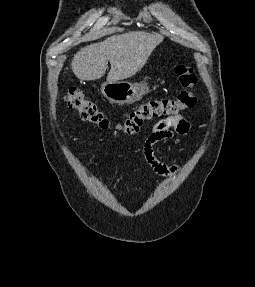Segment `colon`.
Segmentation results:
<instances>
[{
  "instance_id": "1",
  "label": "colon",
  "mask_w": 255,
  "mask_h": 287,
  "mask_svg": "<svg viewBox=\"0 0 255 287\" xmlns=\"http://www.w3.org/2000/svg\"><path fill=\"white\" fill-rule=\"evenodd\" d=\"M174 70L183 88L175 98L148 100L131 111L124 121L117 125H113L98 106L76 87H71L68 90L65 95V102L69 108L76 110L84 121L100 129L116 128L124 134L133 135L139 131L146 120L161 115L177 114L179 111L192 108L196 104L197 78L192 67L185 63H179Z\"/></svg>"
}]
</instances>
